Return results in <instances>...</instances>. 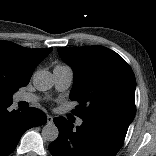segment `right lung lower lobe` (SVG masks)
<instances>
[{
	"instance_id": "obj_1",
	"label": "right lung lower lobe",
	"mask_w": 156,
	"mask_h": 156,
	"mask_svg": "<svg viewBox=\"0 0 156 156\" xmlns=\"http://www.w3.org/2000/svg\"><path fill=\"white\" fill-rule=\"evenodd\" d=\"M12 101L0 103V156L9 155L16 148L23 133L46 123V115L37 108L8 111Z\"/></svg>"
}]
</instances>
